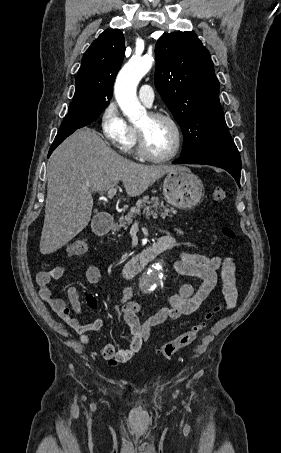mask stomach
<instances>
[{
	"label": "stomach",
	"mask_w": 281,
	"mask_h": 453,
	"mask_svg": "<svg viewBox=\"0 0 281 453\" xmlns=\"http://www.w3.org/2000/svg\"><path fill=\"white\" fill-rule=\"evenodd\" d=\"M163 194L172 206L176 208H194L199 204L203 194L204 186L197 174L187 170H175L168 172L163 182Z\"/></svg>",
	"instance_id": "0dacf381"
}]
</instances>
